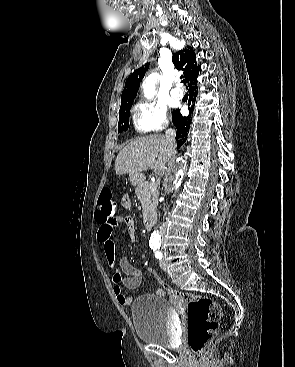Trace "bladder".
I'll use <instances>...</instances> for the list:
<instances>
[{"instance_id":"1","label":"bladder","mask_w":295,"mask_h":367,"mask_svg":"<svg viewBox=\"0 0 295 367\" xmlns=\"http://www.w3.org/2000/svg\"><path fill=\"white\" fill-rule=\"evenodd\" d=\"M131 316L138 338L170 348L177 341L173 309L167 299L156 294L139 296L132 304Z\"/></svg>"}]
</instances>
